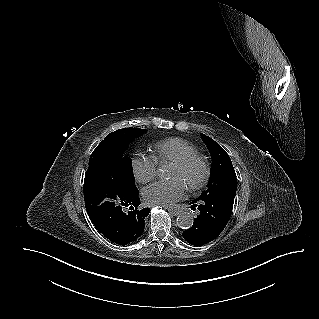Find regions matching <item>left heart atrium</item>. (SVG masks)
<instances>
[{
  "mask_svg": "<svg viewBox=\"0 0 319 319\" xmlns=\"http://www.w3.org/2000/svg\"><path fill=\"white\" fill-rule=\"evenodd\" d=\"M186 185L180 179L154 182L142 190L144 201L153 206H172L185 193Z\"/></svg>",
  "mask_w": 319,
  "mask_h": 319,
  "instance_id": "left-heart-atrium-1",
  "label": "left heart atrium"
}]
</instances>
